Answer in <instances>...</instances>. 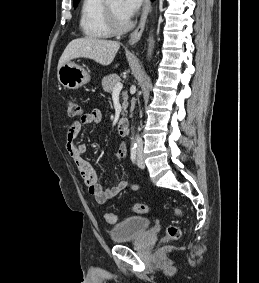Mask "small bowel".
Instances as JSON below:
<instances>
[{
  "label": "small bowel",
  "instance_id": "small-bowel-1",
  "mask_svg": "<svg viewBox=\"0 0 259 283\" xmlns=\"http://www.w3.org/2000/svg\"><path fill=\"white\" fill-rule=\"evenodd\" d=\"M101 119V111L99 109H93L91 112L84 114L79 120L74 121L67 131L65 148L67 154L75 163L88 192L94 196L98 203L104 204L108 200L116 197L122 191L126 189L136 190L138 189V186L122 180L115 186L103 188L97 181V176L91 163L83 158L87 146L83 143L75 144V140L83 127L98 124ZM115 157L117 159H124L127 157V148L124 142L119 143L115 152Z\"/></svg>",
  "mask_w": 259,
  "mask_h": 283
}]
</instances>
